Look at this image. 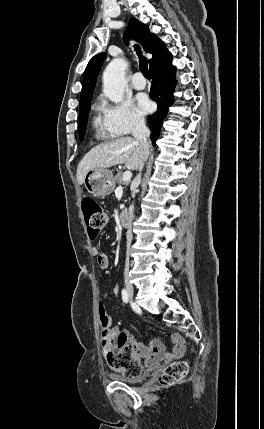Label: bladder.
I'll return each mask as SVG.
<instances>
[{
    "label": "bladder",
    "instance_id": "1",
    "mask_svg": "<svg viewBox=\"0 0 264 429\" xmlns=\"http://www.w3.org/2000/svg\"><path fill=\"white\" fill-rule=\"evenodd\" d=\"M150 375V371H144L139 373L136 376L128 377V376H121V375H111L112 379L126 383V384H135L144 381L148 376Z\"/></svg>",
    "mask_w": 264,
    "mask_h": 429
}]
</instances>
